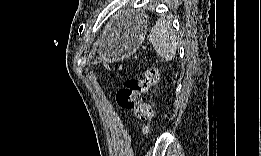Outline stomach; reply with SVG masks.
Instances as JSON below:
<instances>
[{"mask_svg":"<svg viewBox=\"0 0 261 156\" xmlns=\"http://www.w3.org/2000/svg\"><path fill=\"white\" fill-rule=\"evenodd\" d=\"M147 21L137 19L123 31H118L105 43L102 53L108 54V59H123L136 51L146 34Z\"/></svg>","mask_w":261,"mask_h":156,"instance_id":"obj_1","label":"stomach"}]
</instances>
